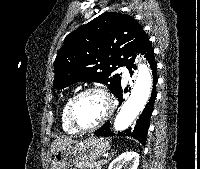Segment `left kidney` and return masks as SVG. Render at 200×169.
Masks as SVG:
<instances>
[{
	"label": "left kidney",
	"instance_id": "5707ae66",
	"mask_svg": "<svg viewBox=\"0 0 200 169\" xmlns=\"http://www.w3.org/2000/svg\"><path fill=\"white\" fill-rule=\"evenodd\" d=\"M123 165L126 169H137L139 165V154L134 151H126L114 159L108 169H121Z\"/></svg>",
	"mask_w": 200,
	"mask_h": 169
}]
</instances>
